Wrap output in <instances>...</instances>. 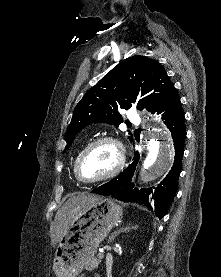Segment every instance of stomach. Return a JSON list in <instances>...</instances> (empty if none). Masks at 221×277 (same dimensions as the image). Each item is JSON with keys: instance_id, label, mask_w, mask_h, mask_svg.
Instances as JSON below:
<instances>
[{"instance_id": "obj_1", "label": "stomach", "mask_w": 221, "mask_h": 277, "mask_svg": "<svg viewBox=\"0 0 221 277\" xmlns=\"http://www.w3.org/2000/svg\"><path fill=\"white\" fill-rule=\"evenodd\" d=\"M122 213V208L108 198H100L83 208L56 248L53 269L57 277H77L121 220Z\"/></svg>"}]
</instances>
